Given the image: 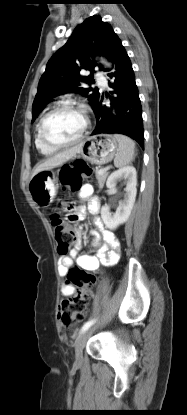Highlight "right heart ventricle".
Listing matches in <instances>:
<instances>
[{
	"label": "right heart ventricle",
	"instance_id": "obj_1",
	"mask_svg": "<svg viewBox=\"0 0 187 415\" xmlns=\"http://www.w3.org/2000/svg\"><path fill=\"white\" fill-rule=\"evenodd\" d=\"M38 127H39V123L37 124V127H36V135H35V145H36V148L43 155L49 156V155L54 154L58 149L48 147L47 145H45L41 141V139L39 137V133H38Z\"/></svg>",
	"mask_w": 187,
	"mask_h": 415
}]
</instances>
